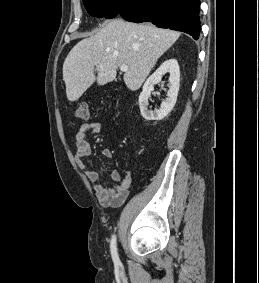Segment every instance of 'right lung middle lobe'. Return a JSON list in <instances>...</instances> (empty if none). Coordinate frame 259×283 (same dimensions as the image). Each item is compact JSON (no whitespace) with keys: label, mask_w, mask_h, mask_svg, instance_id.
Here are the masks:
<instances>
[{"label":"right lung middle lobe","mask_w":259,"mask_h":283,"mask_svg":"<svg viewBox=\"0 0 259 283\" xmlns=\"http://www.w3.org/2000/svg\"><path fill=\"white\" fill-rule=\"evenodd\" d=\"M117 0H83L84 5L91 16L113 18L116 12Z\"/></svg>","instance_id":"obj_1"}]
</instances>
